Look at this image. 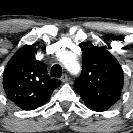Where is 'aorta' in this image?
Returning a JSON list of instances; mask_svg holds the SVG:
<instances>
[{"label": "aorta", "mask_w": 133, "mask_h": 133, "mask_svg": "<svg viewBox=\"0 0 133 133\" xmlns=\"http://www.w3.org/2000/svg\"><path fill=\"white\" fill-rule=\"evenodd\" d=\"M59 60L64 64L66 69L73 75H77L80 71V66L76 61V58L67 52L59 54Z\"/></svg>", "instance_id": "aorta-1"}]
</instances>
